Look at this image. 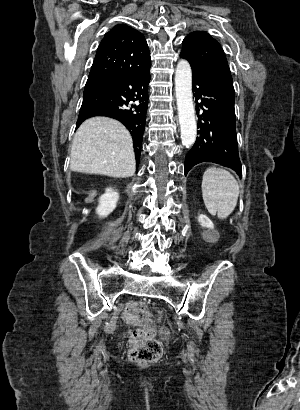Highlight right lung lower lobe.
<instances>
[{"mask_svg":"<svg viewBox=\"0 0 300 410\" xmlns=\"http://www.w3.org/2000/svg\"><path fill=\"white\" fill-rule=\"evenodd\" d=\"M150 66L142 71H129L95 86L85 88L77 121L78 127L93 116L119 120L129 130L136 147H141L148 108ZM140 153L136 157L138 164Z\"/></svg>","mask_w":300,"mask_h":410,"instance_id":"1","label":"right lung lower lobe"}]
</instances>
